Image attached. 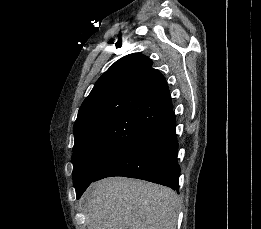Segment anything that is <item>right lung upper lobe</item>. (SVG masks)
<instances>
[{
	"instance_id": "right-lung-upper-lobe-1",
	"label": "right lung upper lobe",
	"mask_w": 261,
	"mask_h": 229,
	"mask_svg": "<svg viewBox=\"0 0 261 229\" xmlns=\"http://www.w3.org/2000/svg\"><path fill=\"white\" fill-rule=\"evenodd\" d=\"M139 53L115 62L82 103L74 124L75 144L132 147L137 133L153 130L172 112L164 76Z\"/></svg>"
}]
</instances>
